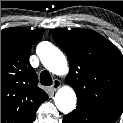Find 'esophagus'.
Listing matches in <instances>:
<instances>
[{
	"mask_svg": "<svg viewBox=\"0 0 123 123\" xmlns=\"http://www.w3.org/2000/svg\"><path fill=\"white\" fill-rule=\"evenodd\" d=\"M60 86H61L60 80H59V79H54V80H53V84H52V86H51L52 90H53V91H56L57 89L60 88Z\"/></svg>",
	"mask_w": 123,
	"mask_h": 123,
	"instance_id": "esophagus-1",
	"label": "esophagus"
}]
</instances>
